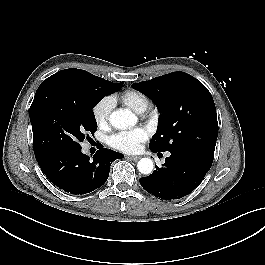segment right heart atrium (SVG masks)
<instances>
[{
    "mask_svg": "<svg viewBox=\"0 0 265 265\" xmlns=\"http://www.w3.org/2000/svg\"><path fill=\"white\" fill-rule=\"evenodd\" d=\"M113 99L109 96L101 98L92 108L93 118L98 126H106L110 121Z\"/></svg>",
    "mask_w": 265,
    "mask_h": 265,
    "instance_id": "d8ad5b80",
    "label": "right heart atrium"
}]
</instances>
